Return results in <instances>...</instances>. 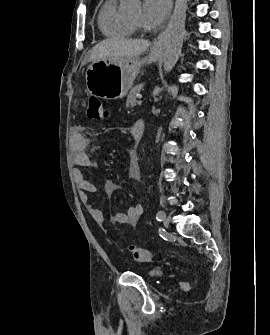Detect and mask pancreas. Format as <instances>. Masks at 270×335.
Here are the masks:
<instances>
[{"label":"pancreas","instance_id":"cf45deb5","mask_svg":"<svg viewBox=\"0 0 270 335\" xmlns=\"http://www.w3.org/2000/svg\"><path fill=\"white\" fill-rule=\"evenodd\" d=\"M141 88H143V84H139V86H134V88H131L127 96V102H126L127 108H133L136 102L137 94H140Z\"/></svg>","mask_w":270,"mask_h":335}]
</instances>
